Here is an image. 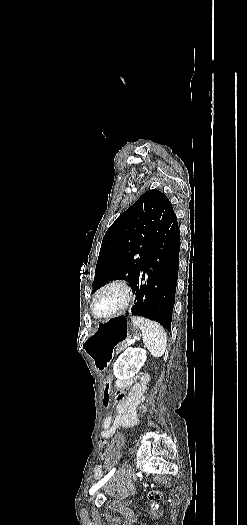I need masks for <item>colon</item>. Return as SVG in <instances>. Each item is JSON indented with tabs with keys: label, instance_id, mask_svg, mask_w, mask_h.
<instances>
[{
	"label": "colon",
	"instance_id": "colon-1",
	"mask_svg": "<svg viewBox=\"0 0 247 525\" xmlns=\"http://www.w3.org/2000/svg\"><path fill=\"white\" fill-rule=\"evenodd\" d=\"M116 381L115 376L108 374L105 376L104 381H102L101 386L104 388L103 392L100 395L102 408L104 410H107L109 406L112 403L111 397L113 395L112 388L114 386V383ZM100 452H101V458L103 461L108 462L111 460V453H110V443L107 441H104L100 444ZM162 496V493L158 489H151L149 491V498L152 502L158 501ZM152 513L154 516H158L160 514V510L158 506L153 507Z\"/></svg>",
	"mask_w": 247,
	"mask_h": 525
}]
</instances>
